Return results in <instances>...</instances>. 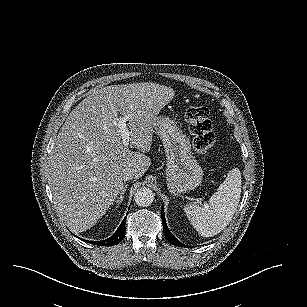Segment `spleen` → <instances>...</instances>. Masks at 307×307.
<instances>
[{"label": "spleen", "mask_w": 307, "mask_h": 307, "mask_svg": "<svg viewBox=\"0 0 307 307\" xmlns=\"http://www.w3.org/2000/svg\"><path fill=\"white\" fill-rule=\"evenodd\" d=\"M241 186V172L233 168L208 203L203 206L194 203L184 206L188 220L201 236L213 237L226 228L237 210Z\"/></svg>", "instance_id": "3e777b00"}]
</instances>
